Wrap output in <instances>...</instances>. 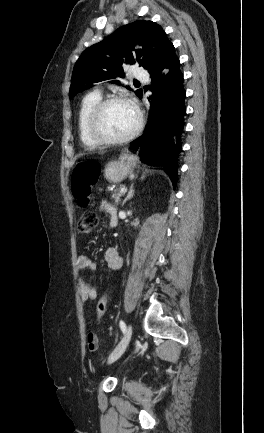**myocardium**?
I'll use <instances>...</instances> for the list:
<instances>
[{"label":"myocardium","mask_w":264,"mask_h":433,"mask_svg":"<svg viewBox=\"0 0 264 433\" xmlns=\"http://www.w3.org/2000/svg\"><path fill=\"white\" fill-rule=\"evenodd\" d=\"M116 103H125L130 105L137 117L136 124L134 128L123 137H108L104 135L100 129L101 117L105 111V109ZM143 125V117L139 110V108L131 101L129 98L124 96H110L104 99H101L91 110L88 119H87V132L92 140L98 145H118L124 144L132 139H134L140 132Z\"/></svg>","instance_id":"myocardium-1"}]
</instances>
